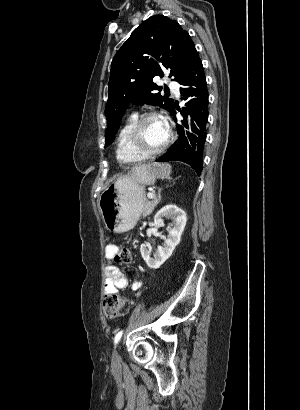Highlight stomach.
Listing matches in <instances>:
<instances>
[{"instance_id": "0dacf381", "label": "stomach", "mask_w": 300, "mask_h": 410, "mask_svg": "<svg viewBox=\"0 0 300 410\" xmlns=\"http://www.w3.org/2000/svg\"><path fill=\"white\" fill-rule=\"evenodd\" d=\"M168 164L153 163L134 168L107 187L99 197V209L109 231L123 233L137 223L145 203V185L170 175Z\"/></svg>"}]
</instances>
